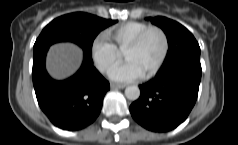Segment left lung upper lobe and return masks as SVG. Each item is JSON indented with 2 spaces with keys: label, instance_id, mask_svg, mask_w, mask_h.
Here are the masks:
<instances>
[{
  "label": "left lung upper lobe",
  "instance_id": "obj_1",
  "mask_svg": "<svg viewBox=\"0 0 238 145\" xmlns=\"http://www.w3.org/2000/svg\"><path fill=\"white\" fill-rule=\"evenodd\" d=\"M151 22L162 28L169 43V51L161 68L172 66L188 57L200 56L198 42L184 26L174 20L161 16L152 18Z\"/></svg>",
  "mask_w": 238,
  "mask_h": 145
}]
</instances>
